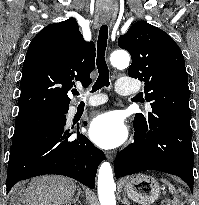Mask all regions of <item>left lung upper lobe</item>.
Listing matches in <instances>:
<instances>
[{
	"instance_id": "1",
	"label": "left lung upper lobe",
	"mask_w": 199,
	"mask_h": 205,
	"mask_svg": "<svg viewBox=\"0 0 199 205\" xmlns=\"http://www.w3.org/2000/svg\"><path fill=\"white\" fill-rule=\"evenodd\" d=\"M132 63L128 75L144 81V93L151 102L152 112L137 113L134 123L147 126L156 112H166L190 118V91L182 52L163 30L144 21L133 24L118 39Z\"/></svg>"
}]
</instances>
